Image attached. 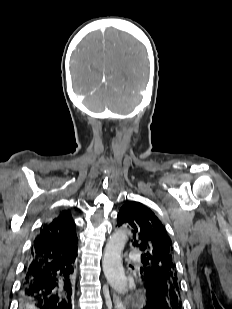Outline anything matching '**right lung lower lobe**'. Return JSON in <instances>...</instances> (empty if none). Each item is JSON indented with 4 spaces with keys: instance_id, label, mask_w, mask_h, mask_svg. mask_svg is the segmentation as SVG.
<instances>
[{
    "instance_id": "1",
    "label": "right lung lower lobe",
    "mask_w": 232,
    "mask_h": 309,
    "mask_svg": "<svg viewBox=\"0 0 232 309\" xmlns=\"http://www.w3.org/2000/svg\"><path fill=\"white\" fill-rule=\"evenodd\" d=\"M76 256L53 259L40 266L28 261L20 289V309H73Z\"/></svg>"
}]
</instances>
